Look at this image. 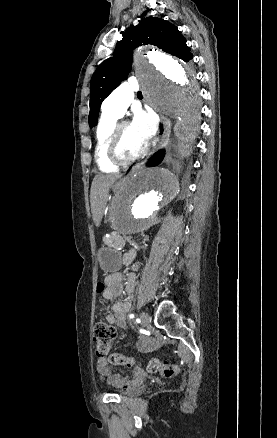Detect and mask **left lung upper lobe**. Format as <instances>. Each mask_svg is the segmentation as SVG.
<instances>
[{"mask_svg":"<svg viewBox=\"0 0 277 438\" xmlns=\"http://www.w3.org/2000/svg\"><path fill=\"white\" fill-rule=\"evenodd\" d=\"M123 39L117 43L113 57L104 60L91 79L89 126L97 123L102 101L125 80L132 67L134 48L152 44L185 62L192 59L186 39L176 26L168 21L147 17L123 32Z\"/></svg>","mask_w":277,"mask_h":438,"instance_id":"obj_1","label":"left lung upper lobe"}]
</instances>
